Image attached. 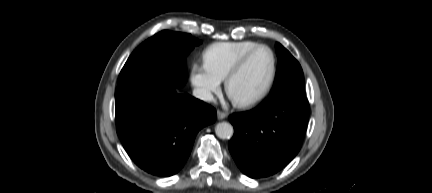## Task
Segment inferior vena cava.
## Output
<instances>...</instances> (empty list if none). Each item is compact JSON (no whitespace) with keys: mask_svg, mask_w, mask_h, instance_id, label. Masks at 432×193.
Returning a JSON list of instances; mask_svg holds the SVG:
<instances>
[{"mask_svg":"<svg viewBox=\"0 0 432 193\" xmlns=\"http://www.w3.org/2000/svg\"><path fill=\"white\" fill-rule=\"evenodd\" d=\"M193 96L203 101H208V102L214 101V97L212 93L209 90L204 88H195L193 90Z\"/></svg>","mask_w":432,"mask_h":193,"instance_id":"inferior-vena-cava-1","label":"inferior vena cava"}]
</instances>
